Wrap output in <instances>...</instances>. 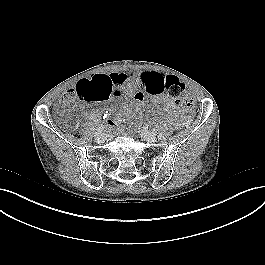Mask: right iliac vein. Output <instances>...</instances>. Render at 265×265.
I'll return each instance as SVG.
<instances>
[{"label":"right iliac vein","instance_id":"obj_1","mask_svg":"<svg viewBox=\"0 0 265 265\" xmlns=\"http://www.w3.org/2000/svg\"><path fill=\"white\" fill-rule=\"evenodd\" d=\"M97 143H104L106 141V136L104 134H100L96 137Z\"/></svg>","mask_w":265,"mask_h":265}]
</instances>
